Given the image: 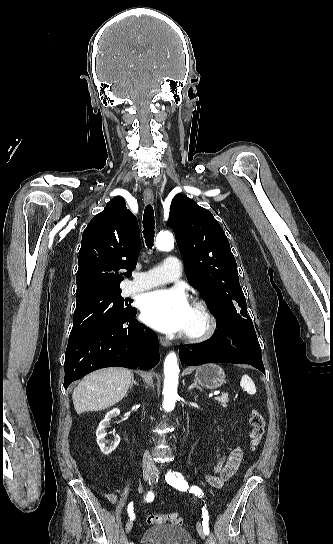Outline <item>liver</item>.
<instances>
[{
  "label": "liver",
  "instance_id": "liver-1",
  "mask_svg": "<svg viewBox=\"0 0 333 544\" xmlns=\"http://www.w3.org/2000/svg\"><path fill=\"white\" fill-rule=\"evenodd\" d=\"M132 373L124 368H105L85 376L72 393L78 414L115 405L128 392Z\"/></svg>",
  "mask_w": 333,
  "mask_h": 544
}]
</instances>
